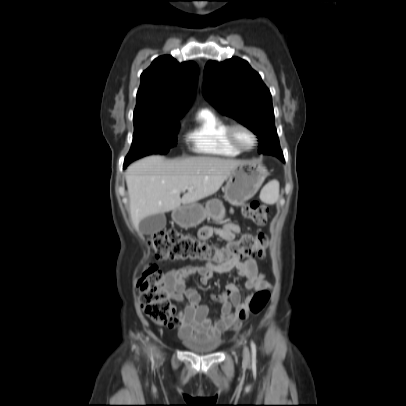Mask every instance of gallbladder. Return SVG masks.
I'll use <instances>...</instances> for the list:
<instances>
[{"label": "gallbladder", "instance_id": "gallbladder-1", "mask_svg": "<svg viewBox=\"0 0 406 406\" xmlns=\"http://www.w3.org/2000/svg\"><path fill=\"white\" fill-rule=\"evenodd\" d=\"M166 226V216L164 213H158L142 219L139 223V229L145 234H154L160 232Z\"/></svg>", "mask_w": 406, "mask_h": 406}]
</instances>
